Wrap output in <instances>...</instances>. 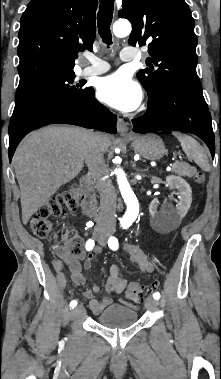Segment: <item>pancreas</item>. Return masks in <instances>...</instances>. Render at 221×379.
Returning <instances> with one entry per match:
<instances>
[{
  "label": "pancreas",
  "instance_id": "obj_1",
  "mask_svg": "<svg viewBox=\"0 0 221 379\" xmlns=\"http://www.w3.org/2000/svg\"><path fill=\"white\" fill-rule=\"evenodd\" d=\"M190 165L188 163H176L173 171L180 176H188Z\"/></svg>",
  "mask_w": 221,
  "mask_h": 379
}]
</instances>
